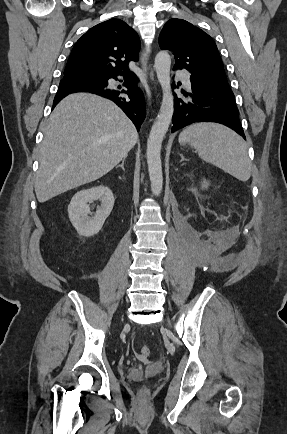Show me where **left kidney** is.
Here are the masks:
<instances>
[{"instance_id":"left-kidney-1","label":"left kidney","mask_w":287,"mask_h":434,"mask_svg":"<svg viewBox=\"0 0 287 434\" xmlns=\"http://www.w3.org/2000/svg\"><path fill=\"white\" fill-rule=\"evenodd\" d=\"M208 186H209V182L204 179L202 182V189L208 188Z\"/></svg>"}]
</instances>
